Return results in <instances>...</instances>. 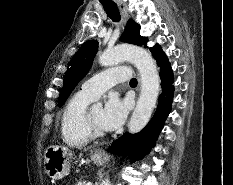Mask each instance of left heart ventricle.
Masks as SVG:
<instances>
[{
  "label": "left heart ventricle",
  "instance_id": "b2bd125f",
  "mask_svg": "<svg viewBox=\"0 0 233 185\" xmlns=\"http://www.w3.org/2000/svg\"><path fill=\"white\" fill-rule=\"evenodd\" d=\"M90 115H91V118H92L94 124H95L99 129L104 130V128L102 127V124H101L102 108H100V107L93 108V109L90 111Z\"/></svg>",
  "mask_w": 233,
  "mask_h": 185
}]
</instances>
